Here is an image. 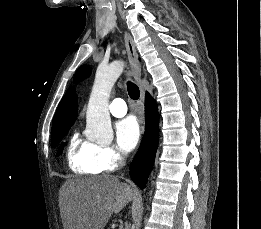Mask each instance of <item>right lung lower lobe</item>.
<instances>
[{"instance_id":"obj_1","label":"right lung lower lobe","mask_w":261,"mask_h":229,"mask_svg":"<svg viewBox=\"0 0 261 229\" xmlns=\"http://www.w3.org/2000/svg\"><path fill=\"white\" fill-rule=\"evenodd\" d=\"M145 109V134L130 168L133 182L141 189L146 187V178L153 168L159 134L157 105L148 93L146 94Z\"/></svg>"}]
</instances>
